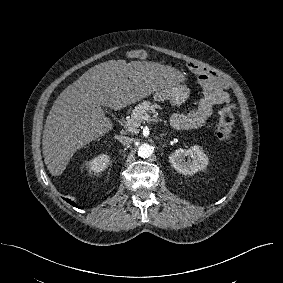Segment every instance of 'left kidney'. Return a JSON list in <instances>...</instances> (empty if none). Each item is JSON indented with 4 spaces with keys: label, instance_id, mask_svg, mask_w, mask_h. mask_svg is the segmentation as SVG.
Wrapping results in <instances>:
<instances>
[{
    "label": "left kidney",
    "instance_id": "left-kidney-1",
    "mask_svg": "<svg viewBox=\"0 0 283 283\" xmlns=\"http://www.w3.org/2000/svg\"><path fill=\"white\" fill-rule=\"evenodd\" d=\"M169 162L179 173L191 175L205 169L209 161L203 149L199 145H194L188 150L182 148L175 150L170 155Z\"/></svg>",
    "mask_w": 283,
    "mask_h": 283
}]
</instances>
